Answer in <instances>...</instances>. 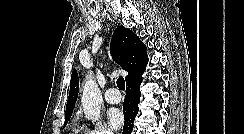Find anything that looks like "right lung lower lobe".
<instances>
[{
    "label": "right lung lower lobe",
    "instance_id": "98d812e1",
    "mask_svg": "<svg viewBox=\"0 0 244 134\" xmlns=\"http://www.w3.org/2000/svg\"><path fill=\"white\" fill-rule=\"evenodd\" d=\"M142 78H137L127 83L126 97L123 104V113L125 123L123 134H131L134 126V120L138 113V104L141 93L139 91Z\"/></svg>",
    "mask_w": 244,
    "mask_h": 134
}]
</instances>
